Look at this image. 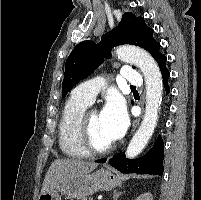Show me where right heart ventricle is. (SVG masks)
Listing matches in <instances>:
<instances>
[{"label":"right heart ventricle","instance_id":"1","mask_svg":"<svg viewBox=\"0 0 201 200\" xmlns=\"http://www.w3.org/2000/svg\"><path fill=\"white\" fill-rule=\"evenodd\" d=\"M89 103L71 95L63 108L59 126L58 142L64 155L71 158H82L88 155L78 142V123Z\"/></svg>","mask_w":201,"mask_h":200}]
</instances>
